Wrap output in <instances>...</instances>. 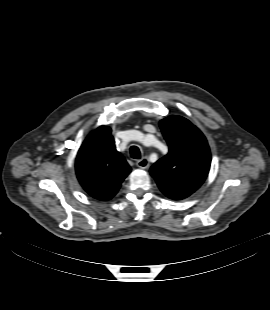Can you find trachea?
I'll return each mask as SVG.
<instances>
[{
  "label": "trachea",
  "mask_w": 270,
  "mask_h": 310,
  "mask_svg": "<svg viewBox=\"0 0 270 310\" xmlns=\"http://www.w3.org/2000/svg\"><path fill=\"white\" fill-rule=\"evenodd\" d=\"M130 155L133 159H140L141 158L140 149L137 146H132L130 148Z\"/></svg>",
  "instance_id": "1"
}]
</instances>
